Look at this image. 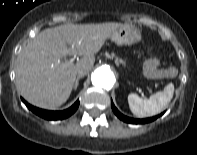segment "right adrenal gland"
<instances>
[{
    "instance_id": "right-adrenal-gland-1",
    "label": "right adrenal gland",
    "mask_w": 197,
    "mask_h": 155,
    "mask_svg": "<svg viewBox=\"0 0 197 155\" xmlns=\"http://www.w3.org/2000/svg\"><path fill=\"white\" fill-rule=\"evenodd\" d=\"M80 78H82V77H77V79H76V81H75V84H74V86H73L74 90L77 89Z\"/></svg>"
}]
</instances>
